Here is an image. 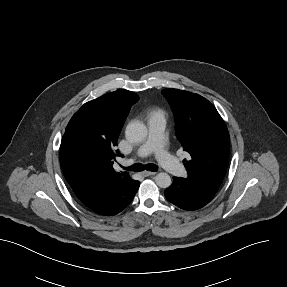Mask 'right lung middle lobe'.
<instances>
[{"label": "right lung middle lobe", "instance_id": "1", "mask_svg": "<svg viewBox=\"0 0 287 287\" xmlns=\"http://www.w3.org/2000/svg\"><path fill=\"white\" fill-rule=\"evenodd\" d=\"M88 156L89 151L80 138L74 131L66 128L60 147L61 164L79 165L84 163Z\"/></svg>", "mask_w": 287, "mask_h": 287}]
</instances>
